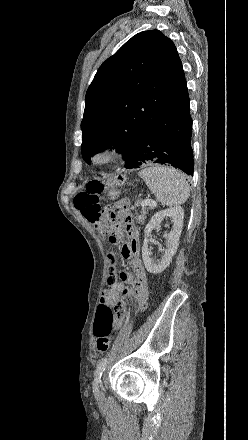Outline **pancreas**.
Wrapping results in <instances>:
<instances>
[{
	"label": "pancreas",
	"instance_id": "1",
	"mask_svg": "<svg viewBox=\"0 0 248 440\" xmlns=\"http://www.w3.org/2000/svg\"><path fill=\"white\" fill-rule=\"evenodd\" d=\"M154 207V205L142 206L141 214L138 216L137 222L143 224L146 218V214L148 213V209H153Z\"/></svg>",
	"mask_w": 248,
	"mask_h": 440
}]
</instances>
